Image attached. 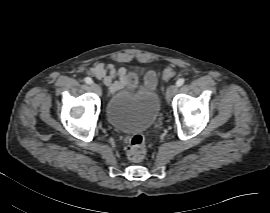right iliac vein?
I'll return each mask as SVG.
<instances>
[{
    "mask_svg": "<svg viewBox=\"0 0 270 213\" xmlns=\"http://www.w3.org/2000/svg\"><path fill=\"white\" fill-rule=\"evenodd\" d=\"M92 89L94 92L100 94L101 90H100V87L97 85V84H92Z\"/></svg>",
    "mask_w": 270,
    "mask_h": 213,
    "instance_id": "1",
    "label": "right iliac vein"
}]
</instances>
